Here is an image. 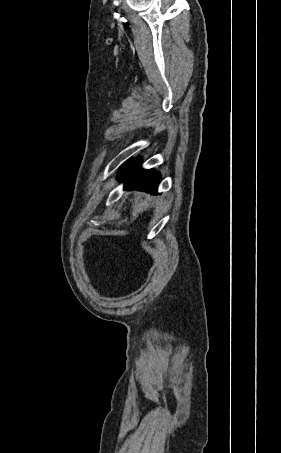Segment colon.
<instances>
[{"label": "colon", "instance_id": "1", "mask_svg": "<svg viewBox=\"0 0 281 453\" xmlns=\"http://www.w3.org/2000/svg\"><path fill=\"white\" fill-rule=\"evenodd\" d=\"M122 268H123V255L119 253L117 257V270L120 271Z\"/></svg>", "mask_w": 281, "mask_h": 453}]
</instances>
